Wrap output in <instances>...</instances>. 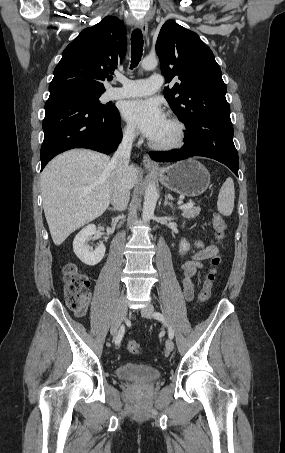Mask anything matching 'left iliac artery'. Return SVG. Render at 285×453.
<instances>
[{"mask_svg": "<svg viewBox=\"0 0 285 453\" xmlns=\"http://www.w3.org/2000/svg\"><path fill=\"white\" fill-rule=\"evenodd\" d=\"M153 316H154L155 319L161 321L162 323H164L165 325L168 326V324L165 321L164 316L160 312H155L153 314ZM168 335H169L170 339H172L174 337V331H173V329L170 326H168Z\"/></svg>", "mask_w": 285, "mask_h": 453, "instance_id": "left-iliac-artery-1", "label": "left iliac artery"}]
</instances>
